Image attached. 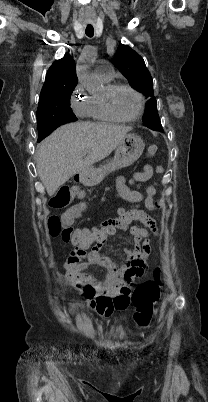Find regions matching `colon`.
I'll use <instances>...</instances> for the list:
<instances>
[{"label": "colon", "mask_w": 208, "mask_h": 402, "mask_svg": "<svg viewBox=\"0 0 208 402\" xmlns=\"http://www.w3.org/2000/svg\"><path fill=\"white\" fill-rule=\"evenodd\" d=\"M158 147L155 144H149L146 148V157L153 160L157 155ZM74 209L67 210L60 216L52 217L48 220L49 233L52 237H60L65 242H73L75 248L72 253L66 255L68 263H80L92 244L98 240L101 235L100 224L122 223L125 219V213L122 211L119 217L106 220L97 225L92 231H72V226L76 218ZM52 254H57V249H52ZM88 258V257H87ZM160 283L161 269L158 267L155 270V278L147 280L139 284L132 296V303L136 308L134 314V322L139 328H146L153 317V306L160 299ZM68 297V296H67ZM74 302V301H73ZM118 305L117 300L113 296L103 295L96 296L90 302V307L97 313L109 315L114 312V307Z\"/></svg>", "instance_id": "5ec220e1"}]
</instances>
